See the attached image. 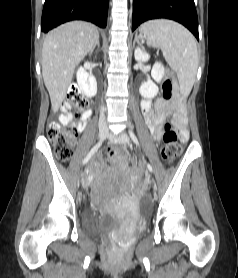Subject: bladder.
Returning <instances> with one entry per match:
<instances>
[{
	"instance_id": "bladder-1",
	"label": "bladder",
	"mask_w": 238,
	"mask_h": 278,
	"mask_svg": "<svg viewBox=\"0 0 238 278\" xmlns=\"http://www.w3.org/2000/svg\"><path fill=\"white\" fill-rule=\"evenodd\" d=\"M83 229L90 236L106 238L116 229V223L106 216L88 211L83 219Z\"/></svg>"
}]
</instances>
